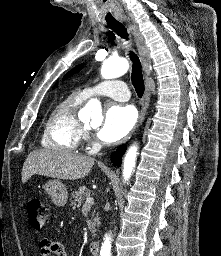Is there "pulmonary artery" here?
Returning <instances> with one entry per match:
<instances>
[{
	"mask_svg": "<svg viewBox=\"0 0 221 256\" xmlns=\"http://www.w3.org/2000/svg\"><path fill=\"white\" fill-rule=\"evenodd\" d=\"M81 94L85 98L93 96H107L118 101H127L129 91L127 85L121 80H107L92 87L85 88Z\"/></svg>",
	"mask_w": 221,
	"mask_h": 256,
	"instance_id": "e3ab8cb5",
	"label": "pulmonary artery"
}]
</instances>
